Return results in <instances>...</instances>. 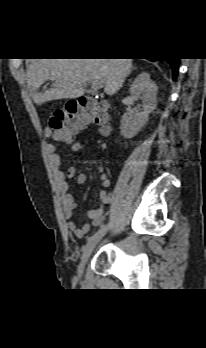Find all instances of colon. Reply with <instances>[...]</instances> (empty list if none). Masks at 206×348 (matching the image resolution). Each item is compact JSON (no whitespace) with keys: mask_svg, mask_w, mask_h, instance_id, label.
Returning <instances> with one entry per match:
<instances>
[{"mask_svg":"<svg viewBox=\"0 0 206 348\" xmlns=\"http://www.w3.org/2000/svg\"><path fill=\"white\" fill-rule=\"evenodd\" d=\"M107 108L89 98H80L56 110L49 119L50 138L56 142H71L76 133L89 124H108Z\"/></svg>","mask_w":206,"mask_h":348,"instance_id":"obj_1","label":"colon"}]
</instances>
